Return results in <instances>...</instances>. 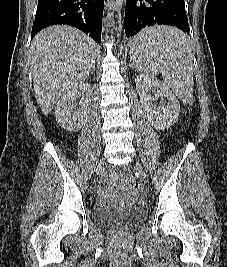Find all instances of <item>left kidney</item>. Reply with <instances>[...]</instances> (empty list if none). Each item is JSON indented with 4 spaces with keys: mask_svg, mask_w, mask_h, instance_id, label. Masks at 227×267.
<instances>
[{
    "mask_svg": "<svg viewBox=\"0 0 227 267\" xmlns=\"http://www.w3.org/2000/svg\"><path fill=\"white\" fill-rule=\"evenodd\" d=\"M136 88L140 99L147 112L149 122L156 129L165 130L171 127L180 114V104L167 85L155 77H142L138 75L135 79ZM154 89L157 96L163 100L159 106L150 104L149 91Z\"/></svg>",
    "mask_w": 227,
    "mask_h": 267,
    "instance_id": "left-kidney-1",
    "label": "left kidney"
}]
</instances>
